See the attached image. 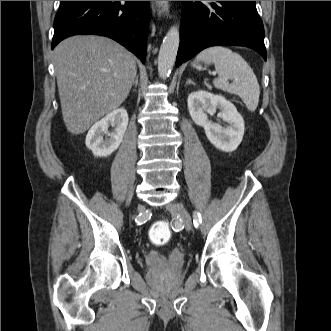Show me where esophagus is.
Masks as SVG:
<instances>
[{"instance_id": "1", "label": "esophagus", "mask_w": 331, "mask_h": 331, "mask_svg": "<svg viewBox=\"0 0 331 331\" xmlns=\"http://www.w3.org/2000/svg\"><path fill=\"white\" fill-rule=\"evenodd\" d=\"M159 16H168V1H155Z\"/></svg>"}]
</instances>
